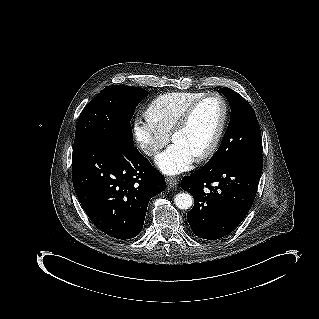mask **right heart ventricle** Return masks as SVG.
<instances>
[{"instance_id":"right-heart-ventricle-1","label":"right heart ventricle","mask_w":319,"mask_h":319,"mask_svg":"<svg viewBox=\"0 0 319 319\" xmlns=\"http://www.w3.org/2000/svg\"><path fill=\"white\" fill-rule=\"evenodd\" d=\"M202 97L203 93L198 92H179L163 95L148 110L146 125L167 133L183 113Z\"/></svg>"}]
</instances>
